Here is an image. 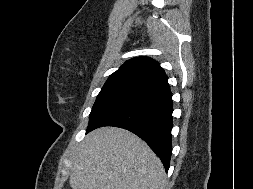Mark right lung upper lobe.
<instances>
[{
    "label": "right lung upper lobe",
    "mask_w": 253,
    "mask_h": 189,
    "mask_svg": "<svg viewBox=\"0 0 253 189\" xmlns=\"http://www.w3.org/2000/svg\"><path fill=\"white\" fill-rule=\"evenodd\" d=\"M168 78L159 63L149 57H136L126 61L114 72L103 88L127 87L147 93L168 86Z\"/></svg>",
    "instance_id": "obj_1"
}]
</instances>
